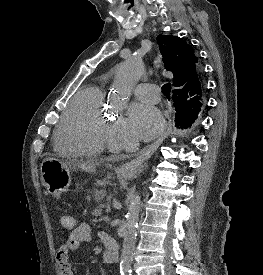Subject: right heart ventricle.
Returning <instances> with one entry per match:
<instances>
[{"label": "right heart ventricle", "instance_id": "obj_1", "mask_svg": "<svg viewBox=\"0 0 263 275\" xmlns=\"http://www.w3.org/2000/svg\"><path fill=\"white\" fill-rule=\"evenodd\" d=\"M103 101L104 91L98 85L84 87L71 99L54 135L57 152L67 157H95L102 153L109 130Z\"/></svg>", "mask_w": 263, "mask_h": 275}]
</instances>
